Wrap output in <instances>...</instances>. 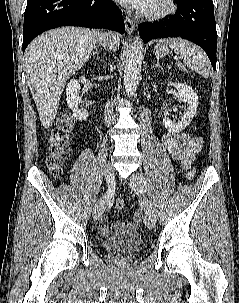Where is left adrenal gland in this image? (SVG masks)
I'll return each instance as SVG.
<instances>
[{
    "mask_svg": "<svg viewBox=\"0 0 239 303\" xmlns=\"http://www.w3.org/2000/svg\"><path fill=\"white\" fill-rule=\"evenodd\" d=\"M153 67H154V68H155V67L161 68V66L159 65V62H158V61L153 65Z\"/></svg>",
    "mask_w": 239,
    "mask_h": 303,
    "instance_id": "a2214340",
    "label": "left adrenal gland"
}]
</instances>
